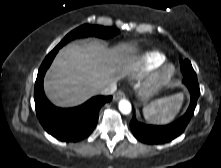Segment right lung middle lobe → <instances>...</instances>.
Masks as SVG:
<instances>
[{
  "mask_svg": "<svg viewBox=\"0 0 221 168\" xmlns=\"http://www.w3.org/2000/svg\"><path fill=\"white\" fill-rule=\"evenodd\" d=\"M118 33L119 30L113 27H103L85 24L67 34L65 38L56 47L61 48L72 39L78 37L97 36L101 38H109Z\"/></svg>",
  "mask_w": 221,
  "mask_h": 168,
  "instance_id": "dd1d6c3e",
  "label": "right lung middle lobe"
}]
</instances>
